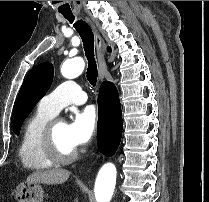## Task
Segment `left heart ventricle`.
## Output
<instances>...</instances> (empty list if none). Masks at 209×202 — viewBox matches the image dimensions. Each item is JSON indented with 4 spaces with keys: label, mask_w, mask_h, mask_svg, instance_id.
Segmentation results:
<instances>
[{
    "label": "left heart ventricle",
    "mask_w": 209,
    "mask_h": 202,
    "mask_svg": "<svg viewBox=\"0 0 209 202\" xmlns=\"http://www.w3.org/2000/svg\"><path fill=\"white\" fill-rule=\"evenodd\" d=\"M55 138L59 148L63 152L68 153L75 149L67 138L66 122L60 120L57 121L55 128Z\"/></svg>",
    "instance_id": "obj_1"
}]
</instances>
